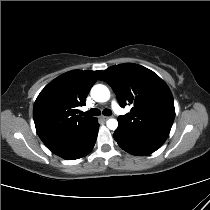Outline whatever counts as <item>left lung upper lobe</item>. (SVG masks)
<instances>
[{
	"label": "left lung upper lobe",
	"instance_id": "5c2ea615",
	"mask_svg": "<svg viewBox=\"0 0 210 210\" xmlns=\"http://www.w3.org/2000/svg\"><path fill=\"white\" fill-rule=\"evenodd\" d=\"M100 79L112 87L121 107L133 106L130 113L118 117L119 129L167 139L175 117L174 100L169 87L156 73L125 63L109 67Z\"/></svg>",
	"mask_w": 210,
	"mask_h": 210
}]
</instances>
